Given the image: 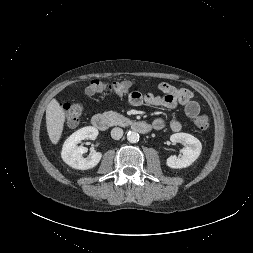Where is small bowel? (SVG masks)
Listing matches in <instances>:
<instances>
[{
    "mask_svg": "<svg viewBox=\"0 0 253 253\" xmlns=\"http://www.w3.org/2000/svg\"><path fill=\"white\" fill-rule=\"evenodd\" d=\"M158 89L163 95H155L151 92L142 94L138 91L132 92L129 96L130 103L134 106H141L149 104L154 106H161L168 109H173L177 106H183L185 114L188 118H195L200 112L199 104L193 100V94L186 88H177L168 83H160ZM152 128L159 130L163 127L164 122L162 119H156L152 122ZM185 126L179 120H173L170 123L172 131L178 132Z\"/></svg>",
    "mask_w": 253,
    "mask_h": 253,
    "instance_id": "small-bowel-1",
    "label": "small bowel"
}]
</instances>
